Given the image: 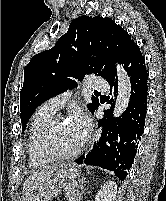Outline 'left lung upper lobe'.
<instances>
[{
  "mask_svg": "<svg viewBox=\"0 0 166 201\" xmlns=\"http://www.w3.org/2000/svg\"><path fill=\"white\" fill-rule=\"evenodd\" d=\"M133 44L127 31L110 18L83 15L74 19L54 47L35 55L25 67L20 91L22 129L38 106L77 85L86 74L108 79ZM98 106L95 97L87 105L92 113Z\"/></svg>",
  "mask_w": 166,
  "mask_h": 201,
  "instance_id": "left-lung-upper-lobe-1",
  "label": "left lung upper lobe"
}]
</instances>
